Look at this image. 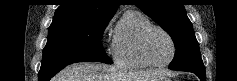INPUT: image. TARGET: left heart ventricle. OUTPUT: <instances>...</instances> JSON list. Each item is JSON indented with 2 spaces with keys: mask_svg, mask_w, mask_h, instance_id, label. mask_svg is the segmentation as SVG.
<instances>
[{
  "mask_svg": "<svg viewBox=\"0 0 237 81\" xmlns=\"http://www.w3.org/2000/svg\"><path fill=\"white\" fill-rule=\"evenodd\" d=\"M147 52L150 59L156 63L168 61L172 54V46L169 39L160 31L153 30L147 38Z\"/></svg>",
  "mask_w": 237,
  "mask_h": 81,
  "instance_id": "1",
  "label": "left heart ventricle"
}]
</instances>
